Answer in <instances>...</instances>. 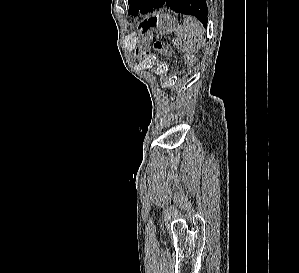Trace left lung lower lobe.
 Here are the masks:
<instances>
[{"mask_svg": "<svg viewBox=\"0 0 299 273\" xmlns=\"http://www.w3.org/2000/svg\"><path fill=\"white\" fill-rule=\"evenodd\" d=\"M167 6L175 12L193 15L203 26H207L208 9L206 0H146L140 13L151 12L155 8Z\"/></svg>", "mask_w": 299, "mask_h": 273, "instance_id": "left-lung-lower-lobe-1", "label": "left lung lower lobe"}]
</instances>
